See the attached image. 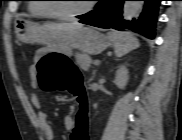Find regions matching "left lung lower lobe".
Instances as JSON below:
<instances>
[{
    "mask_svg": "<svg viewBox=\"0 0 182 140\" xmlns=\"http://www.w3.org/2000/svg\"><path fill=\"white\" fill-rule=\"evenodd\" d=\"M123 3L124 0H101L97 9L81 18L80 22L99 28L134 31L153 39L160 0H145L140 18L131 22L122 19Z\"/></svg>",
    "mask_w": 182,
    "mask_h": 140,
    "instance_id": "1",
    "label": "left lung lower lobe"
}]
</instances>
